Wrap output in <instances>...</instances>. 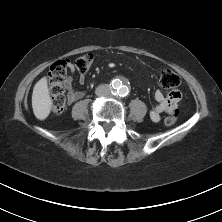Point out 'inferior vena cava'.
<instances>
[{"instance_id":"inferior-vena-cava-1","label":"inferior vena cava","mask_w":222,"mask_h":222,"mask_svg":"<svg viewBox=\"0 0 222 222\" xmlns=\"http://www.w3.org/2000/svg\"><path fill=\"white\" fill-rule=\"evenodd\" d=\"M96 95L99 97H110L111 96V87L108 84H101L96 88Z\"/></svg>"}]
</instances>
